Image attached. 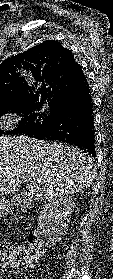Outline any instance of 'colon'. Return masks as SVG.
Wrapping results in <instances>:
<instances>
[{
	"mask_svg": "<svg viewBox=\"0 0 113 279\" xmlns=\"http://www.w3.org/2000/svg\"><path fill=\"white\" fill-rule=\"evenodd\" d=\"M41 249V245L36 237L34 236L31 244V249L28 252H21L14 248L2 247L0 245V265H6L9 262L15 260L19 263L26 261L30 256Z\"/></svg>",
	"mask_w": 113,
	"mask_h": 279,
	"instance_id": "5ec220e1",
	"label": "colon"
}]
</instances>
